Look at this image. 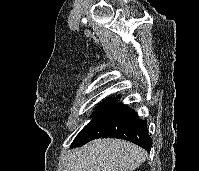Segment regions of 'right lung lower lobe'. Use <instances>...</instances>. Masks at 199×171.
Here are the masks:
<instances>
[{
	"label": "right lung lower lobe",
	"mask_w": 199,
	"mask_h": 171,
	"mask_svg": "<svg viewBox=\"0 0 199 171\" xmlns=\"http://www.w3.org/2000/svg\"><path fill=\"white\" fill-rule=\"evenodd\" d=\"M119 97H110L99 103L92 120L80 131L71 147H80L97 138H120L133 142L150 151L152 140L148 135L147 122L136 112L116 103Z\"/></svg>",
	"instance_id": "98d812e1"
}]
</instances>
